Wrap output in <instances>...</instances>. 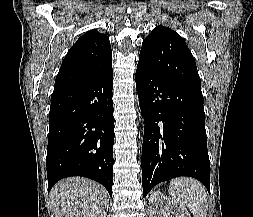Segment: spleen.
<instances>
[{"label":"spleen","instance_id":"obj_1","mask_svg":"<svg viewBox=\"0 0 253 217\" xmlns=\"http://www.w3.org/2000/svg\"><path fill=\"white\" fill-rule=\"evenodd\" d=\"M169 194L175 204L187 207L193 217H207V193L198 180L188 177L175 178L170 181Z\"/></svg>","mask_w":253,"mask_h":217}]
</instances>
